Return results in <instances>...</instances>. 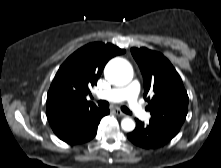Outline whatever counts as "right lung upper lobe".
Listing matches in <instances>:
<instances>
[{"label": "right lung upper lobe", "instance_id": "right-lung-upper-lobe-1", "mask_svg": "<svg viewBox=\"0 0 221 168\" xmlns=\"http://www.w3.org/2000/svg\"><path fill=\"white\" fill-rule=\"evenodd\" d=\"M125 50L113 44L90 43L78 49L61 65L49 88L46 114L49 123L60 122L98 109L86 100L106 63Z\"/></svg>", "mask_w": 221, "mask_h": 168}]
</instances>
